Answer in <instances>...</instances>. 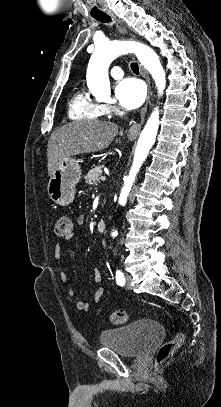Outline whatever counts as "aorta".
<instances>
[{
    "instance_id": "obj_1",
    "label": "aorta",
    "mask_w": 221,
    "mask_h": 407,
    "mask_svg": "<svg viewBox=\"0 0 221 407\" xmlns=\"http://www.w3.org/2000/svg\"><path fill=\"white\" fill-rule=\"evenodd\" d=\"M131 52L135 53L140 63L152 75L159 94H163V90L166 86L165 72L154 50L145 44L135 41H111L96 45L95 51L88 64L87 85L97 100L107 101L110 98L111 90L108 69L111 62L118 56ZM159 122V111L156 107L138 139L132 168L120 192V205L126 203L135 176L155 142ZM117 234V231L112 232L113 237H116Z\"/></svg>"
}]
</instances>
